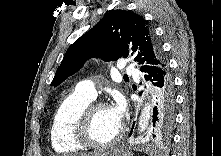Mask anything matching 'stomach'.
<instances>
[{"instance_id": "stomach-1", "label": "stomach", "mask_w": 221, "mask_h": 156, "mask_svg": "<svg viewBox=\"0 0 221 156\" xmlns=\"http://www.w3.org/2000/svg\"><path fill=\"white\" fill-rule=\"evenodd\" d=\"M105 156H131L128 151L113 149L105 154Z\"/></svg>"}]
</instances>
